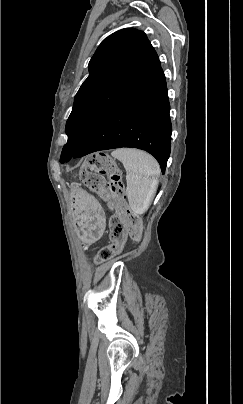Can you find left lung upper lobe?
Masks as SVG:
<instances>
[{
  "instance_id": "left-lung-upper-lobe-1",
  "label": "left lung upper lobe",
  "mask_w": 243,
  "mask_h": 404,
  "mask_svg": "<svg viewBox=\"0 0 243 404\" xmlns=\"http://www.w3.org/2000/svg\"><path fill=\"white\" fill-rule=\"evenodd\" d=\"M160 69L157 53L144 32L126 28L103 40L89 62L90 74L75 96L60 162L77 152L104 112Z\"/></svg>"
}]
</instances>
